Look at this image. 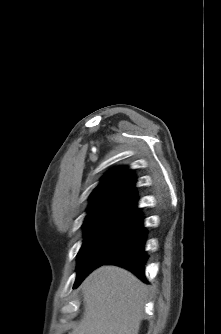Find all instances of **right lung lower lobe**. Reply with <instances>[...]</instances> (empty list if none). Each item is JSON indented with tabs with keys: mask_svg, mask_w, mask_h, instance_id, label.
<instances>
[{
	"mask_svg": "<svg viewBox=\"0 0 221 334\" xmlns=\"http://www.w3.org/2000/svg\"><path fill=\"white\" fill-rule=\"evenodd\" d=\"M145 239L146 231L145 228L142 227L138 234L125 247H123L113 257H111L105 264H114L124 267L133 272L142 281L147 282L144 274V265L147 260V255L144 251Z\"/></svg>",
	"mask_w": 221,
	"mask_h": 334,
	"instance_id": "1",
	"label": "right lung lower lobe"
}]
</instances>
